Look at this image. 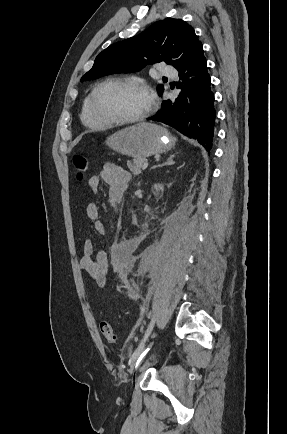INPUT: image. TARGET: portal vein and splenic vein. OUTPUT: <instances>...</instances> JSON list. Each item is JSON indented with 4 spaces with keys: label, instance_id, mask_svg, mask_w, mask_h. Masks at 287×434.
<instances>
[{
    "label": "portal vein and splenic vein",
    "instance_id": "18ae733b",
    "mask_svg": "<svg viewBox=\"0 0 287 434\" xmlns=\"http://www.w3.org/2000/svg\"><path fill=\"white\" fill-rule=\"evenodd\" d=\"M147 167H148V162L145 161V162L143 163L142 169L145 170V169H147Z\"/></svg>",
    "mask_w": 287,
    "mask_h": 434
}]
</instances>
